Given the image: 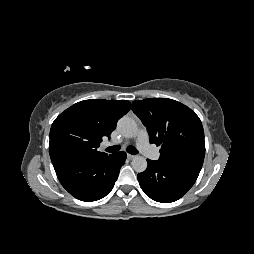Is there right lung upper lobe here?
Masks as SVG:
<instances>
[{
    "instance_id": "1",
    "label": "right lung upper lobe",
    "mask_w": 254,
    "mask_h": 254,
    "mask_svg": "<svg viewBox=\"0 0 254 254\" xmlns=\"http://www.w3.org/2000/svg\"><path fill=\"white\" fill-rule=\"evenodd\" d=\"M130 106L127 100L91 99L66 109L51 126L49 152L52 163L64 158L107 155L97 148Z\"/></svg>"
}]
</instances>
